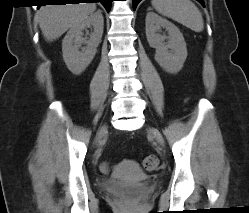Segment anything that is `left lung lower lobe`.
Returning <instances> with one entry per match:
<instances>
[{
  "mask_svg": "<svg viewBox=\"0 0 249 213\" xmlns=\"http://www.w3.org/2000/svg\"><path fill=\"white\" fill-rule=\"evenodd\" d=\"M141 0H133V8L134 10L136 9V6L138 5V3L140 2ZM199 1L203 6H204V2L203 0H197Z\"/></svg>",
  "mask_w": 249,
  "mask_h": 213,
  "instance_id": "0a47b994",
  "label": "left lung lower lobe"
}]
</instances>
